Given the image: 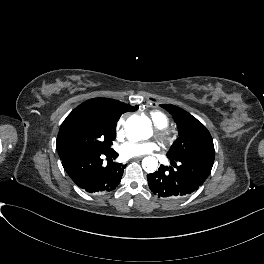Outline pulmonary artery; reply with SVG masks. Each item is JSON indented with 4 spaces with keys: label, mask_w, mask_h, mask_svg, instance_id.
<instances>
[{
    "label": "pulmonary artery",
    "mask_w": 264,
    "mask_h": 264,
    "mask_svg": "<svg viewBox=\"0 0 264 264\" xmlns=\"http://www.w3.org/2000/svg\"><path fill=\"white\" fill-rule=\"evenodd\" d=\"M159 127H163L158 125ZM124 147H128L130 149H135L138 154L137 155H141V154H150L152 153L154 150L157 149V145L155 143L152 142H146V143H130V142H126L124 144H122L119 148V150L121 151ZM157 163V161H156Z\"/></svg>",
    "instance_id": "pulmonary-artery-1"
}]
</instances>
